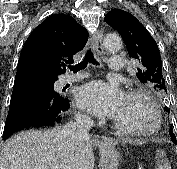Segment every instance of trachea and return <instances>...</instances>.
<instances>
[{
  "label": "trachea",
  "mask_w": 177,
  "mask_h": 169,
  "mask_svg": "<svg viewBox=\"0 0 177 169\" xmlns=\"http://www.w3.org/2000/svg\"><path fill=\"white\" fill-rule=\"evenodd\" d=\"M89 62L94 65H99L98 61H96V59L94 58L93 52L91 51V49L87 51L86 56L82 62H80L74 66L70 65V66H68V68L71 71H73L74 73H76L77 71L84 69Z\"/></svg>",
  "instance_id": "1"
}]
</instances>
